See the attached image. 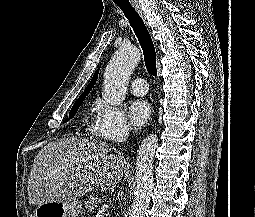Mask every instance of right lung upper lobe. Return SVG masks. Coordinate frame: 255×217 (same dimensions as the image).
Wrapping results in <instances>:
<instances>
[{
  "instance_id": "obj_1",
  "label": "right lung upper lobe",
  "mask_w": 255,
  "mask_h": 217,
  "mask_svg": "<svg viewBox=\"0 0 255 217\" xmlns=\"http://www.w3.org/2000/svg\"><path fill=\"white\" fill-rule=\"evenodd\" d=\"M98 73H99V69L96 70V72L94 73V75H93V77H92L90 83L88 84V86L86 87V89L84 90V92L81 94V96L84 95V94H88V93L91 91L92 87H93V86L95 85V83H96V80H97V77H98Z\"/></svg>"
}]
</instances>
